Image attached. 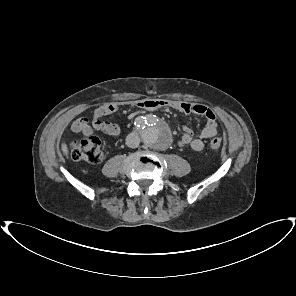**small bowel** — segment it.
Returning <instances> with one entry per match:
<instances>
[{"instance_id":"c3829d8e","label":"small bowel","mask_w":296,"mask_h":296,"mask_svg":"<svg viewBox=\"0 0 296 296\" xmlns=\"http://www.w3.org/2000/svg\"><path fill=\"white\" fill-rule=\"evenodd\" d=\"M136 105L145 111H153L160 108L169 107L183 113H192L201 115L206 119V123L202 128L199 137H194L190 128L184 129V134L178 140L179 147H190L194 151H202L205 147V140L217 134L216 115L212 109L202 104L189 103L175 100H157L149 99L140 101ZM118 105L114 102H108L97 109L93 113L92 120L87 118H78L72 123V130L76 133L89 135L93 130L102 131L109 136L119 137L121 128L119 125L109 122L104 117L115 113Z\"/></svg>"}]
</instances>
